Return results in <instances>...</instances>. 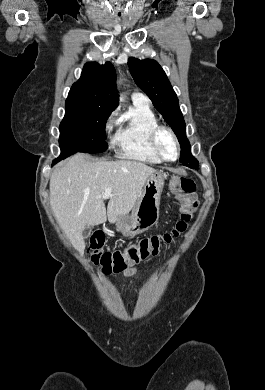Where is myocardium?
I'll return each instance as SVG.
<instances>
[{
  "label": "myocardium",
  "mask_w": 265,
  "mask_h": 390,
  "mask_svg": "<svg viewBox=\"0 0 265 390\" xmlns=\"http://www.w3.org/2000/svg\"><path fill=\"white\" fill-rule=\"evenodd\" d=\"M168 133L171 138L173 139L175 143V148H176V155L173 159L167 158L163 152L161 151L159 147V136L161 133ZM149 144L152 148V150L155 152V154L160 158L161 161L163 162H175L180 155V143L179 140L175 134V132L168 126L165 125H160L158 124L157 126L153 127L150 132H149Z\"/></svg>",
  "instance_id": "obj_1"
}]
</instances>
